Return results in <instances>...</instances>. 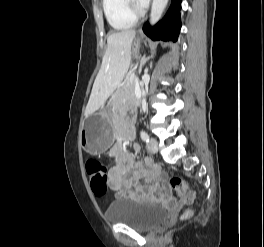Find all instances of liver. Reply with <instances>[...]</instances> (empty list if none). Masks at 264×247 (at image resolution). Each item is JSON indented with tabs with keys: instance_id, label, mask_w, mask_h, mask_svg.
<instances>
[{
	"instance_id": "6515ba94",
	"label": "liver",
	"mask_w": 264,
	"mask_h": 247,
	"mask_svg": "<svg viewBox=\"0 0 264 247\" xmlns=\"http://www.w3.org/2000/svg\"><path fill=\"white\" fill-rule=\"evenodd\" d=\"M136 31L124 30L107 38V49L95 79L85 114L98 110L125 77L131 62V47Z\"/></svg>"
}]
</instances>
